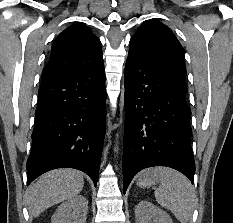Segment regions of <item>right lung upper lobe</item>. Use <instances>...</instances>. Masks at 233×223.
I'll use <instances>...</instances> for the list:
<instances>
[{
	"label": "right lung upper lobe",
	"mask_w": 233,
	"mask_h": 223,
	"mask_svg": "<svg viewBox=\"0 0 233 223\" xmlns=\"http://www.w3.org/2000/svg\"><path fill=\"white\" fill-rule=\"evenodd\" d=\"M103 66L101 43L83 24L62 31L52 45L41 81L54 80Z\"/></svg>",
	"instance_id": "cb5924a9"
}]
</instances>
